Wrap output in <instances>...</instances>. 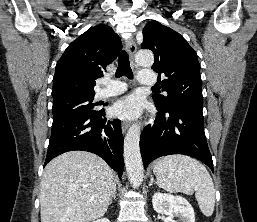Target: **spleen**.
<instances>
[{
	"label": "spleen",
	"instance_id": "3e777b00",
	"mask_svg": "<svg viewBox=\"0 0 257 222\" xmlns=\"http://www.w3.org/2000/svg\"><path fill=\"white\" fill-rule=\"evenodd\" d=\"M157 184L169 192L195 197L201 212L210 217L215 206V189L207 169L196 159L185 155H168L154 166Z\"/></svg>",
	"mask_w": 257,
	"mask_h": 222
}]
</instances>
